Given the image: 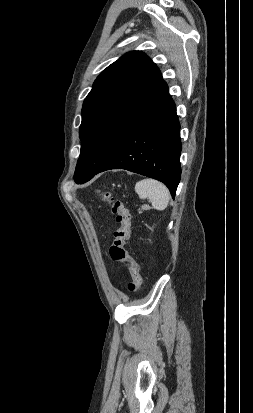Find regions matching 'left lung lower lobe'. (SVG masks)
<instances>
[{
	"label": "left lung lower lobe",
	"mask_w": 253,
	"mask_h": 413,
	"mask_svg": "<svg viewBox=\"0 0 253 413\" xmlns=\"http://www.w3.org/2000/svg\"><path fill=\"white\" fill-rule=\"evenodd\" d=\"M180 124L168 89L97 173L126 169L163 182L174 198L181 177Z\"/></svg>",
	"instance_id": "0a47b994"
}]
</instances>
